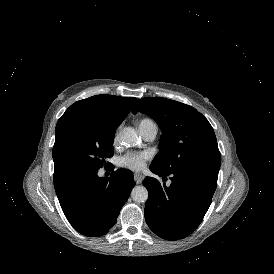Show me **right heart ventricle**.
<instances>
[{"label": "right heart ventricle", "mask_w": 274, "mask_h": 274, "mask_svg": "<svg viewBox=\"0 0 274 274\" xmlns=\"http://www.w3.org/2000/svg\"><path fill=\"white\" fill-rule=\"evenodd\" d=\"M145 120H149V119H147V118H144V119H142V120H141V122H142V121H145Z\"/></svg>", "instance_id": "obj_1"}]
</instances>
